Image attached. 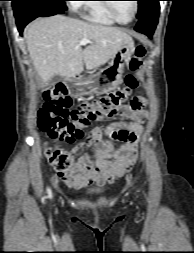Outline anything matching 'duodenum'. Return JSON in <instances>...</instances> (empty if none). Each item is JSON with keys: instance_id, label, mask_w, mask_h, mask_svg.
<instances>
[{"instance_id": "410a0bca", "label": "duodenum", "mask_w": 194, "mask_h": 253, "mask_svg": "<svg viewBox=\"0 0 194 253\" xmlns=\"http://www.w3.org/2000/svg\"><path fill=\"white\" fill-rule=\"evenodd\" d=\"M73 76H74V78H81L82 75H81V73H74Z\"/></svg>"}]
</instances>
